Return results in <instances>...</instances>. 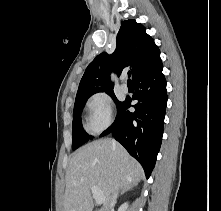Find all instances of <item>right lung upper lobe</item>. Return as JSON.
I'll return each mask as SVG.
<instances>
[{
  "mask_svg": "<svg viewBox=\"0 0 221 211\" xmlns=\"http://www.w3.org/2000/svg\"><path fill=\"white\" fill-rule=\"evenodd\" d=\"M161 63L160 50L154 40L146 34L145 27L133 19L122 21L115 51L112 55L106 52L99 54L88 65L80 81L76 98L112 91L110 73L113 68L120 75L122 70L130 65L134 80L138 75Z\"/></svg>",
  "mask_w": 221,
  "mask_h": 211,
  "instance_id": "obj_1",
  "label": "right lung upper lobe"
}]
</instances>
